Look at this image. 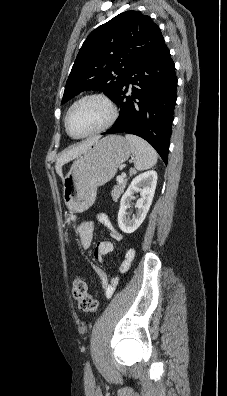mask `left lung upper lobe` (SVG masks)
I'll return each instance as SVG.
<instances>
[{
  "instance_id": "5c2ea615",
  "label": "left lung upper lobe",
  "mask_w": 227,
  "mask_h": 396,
  "mask_svg": "<svg viewBox=\"0 0 227 396\" xmlns=\"http://www.w3.org/2000/svg\"><path fill=\"white\" fill-rule=\"evenodd\" d=\"M163 36L149 16L125 11L92 31L68 77L62 104L85 90L114 101L132 66Z\"/></svg>"
}]
</instances>
